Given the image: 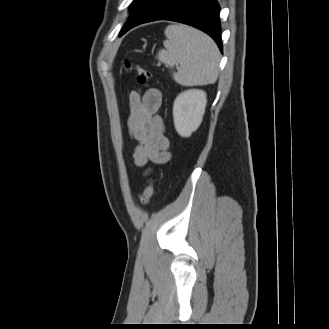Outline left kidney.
<instances>
[{
	"label": "left kidney",
	"instance_id": "obj_1",
	"mask_svg": "<svg viewBox=\"0 0 329 329\" xmlns=\"http://www.w3.org/2000/svg\"><path fill=\"white\" fill-rule=\"evenodd\" d=\"M207 99L206 93L190 89L180 93L173 105L174 126L181 137H190L203 119Z\"/></svg>",
	"mask_w": 329,
	"mask_h": 329
}]
</instances>
